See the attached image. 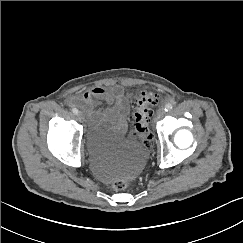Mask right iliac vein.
Masks as SVG:
<instances>
[{"label": "right iliac vein", "mask_w": 243, "mask_h": 243, "mask_svg": "<svg viewBox=\"0 0 243 243\" xmlns=\"http://www.w3.org/2000/svg\"><path fill=\"white\" fill-rule=\"evenodd\" d=\"M78 119L80 121H83L84 120V115L82 113H78Z\"/></svg>", "instance_id": "right-iliac-vein-1"}]
</instances>
